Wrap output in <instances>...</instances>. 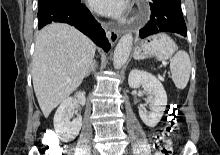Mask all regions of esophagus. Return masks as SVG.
Here are the masks:
<instances>
[{
  "instance_id": "obj_1",
  "label": "esophagus",
  "mask_w": 220,
  "mask_h": 155,
  "mask_svg": "<svg viewBox=\"0 0 220 155\" xmlns=\"http://www.w3.org/2000/svg\"><path fill=\"white\" fill-rule=\"evenodd\" d=\"M108 37H109V40L111 42V44H115L119 38V32L114 30V29H110L108 31Z\"/></svg>"
}]
</instances>
